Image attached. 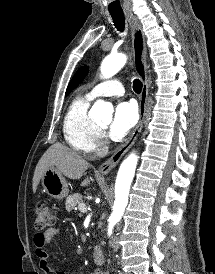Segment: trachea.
I'll list each match as a JSON object with an SVG mask.
<instances>
[{
    "mask_svg": "<svg viewBox=\"0 0 215 274\" xmlns=\"http://www.w3.org/2000/svg\"><path fill=\"white\" fill-rule=\"evenodd\" d=\"M114 25L118 31L122 32L125 28V18L123 13H111ZM142 82L139 79L133 81V90L136 93H140L142 90Z\"/></svg>",
    "mask_w": 215,
    "mask_h": 274,
    "instance_id": "1",
    "label": "trachea"
}]
</instances>
